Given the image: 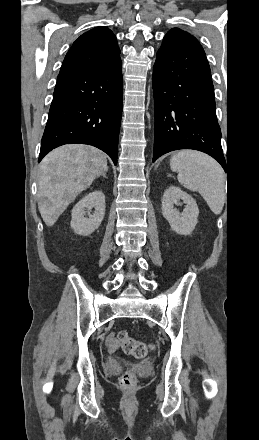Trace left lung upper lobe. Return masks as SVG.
Listing matches in <instances>:
<instances>
[{"label":"left lung upper lobe","instance_id":"1","mask_svg":"<svg viewBox=\"0 0 259 440\" xmlns=\"http://www.w3.org/2000/svg\"><path fill=\"white\" fill-rule=\"evenodd\" d=\"M166 36H181V37H185V38H189V39H193V40H196V41H197V39H196L195 37H193L192 35H190V34L184 32V31H182V30L179 29V28H173V29H171V30L166 34Z\"/></svg>","mask_w":259,"mask_h":440}]
</instances>
